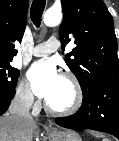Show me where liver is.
Instances as JSON below:
<instances>
[{"label": "liver", "mask_w": 119, "mask_h": 141, "mask_svg": "<svg viewBox=\"0 0 119 141\" xmlns=\"http://www.w3.org/2000/svg\"><path fill=\"white\" fill-rule=\"evenodd\" d=\"M37 134L38 126L35 122L25 123L11 115L0 117V141H32Z\"/></svg>", "instance_id": "liver-1"}]
</instances>
